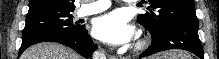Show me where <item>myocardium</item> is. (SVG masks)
<instances>
[{"instance_id": "f54148a6", "label": "myocardium", "mask_w": 219, "mask_h": 59, "mask_svg": "<svg viewBox=\"0 0 219 59\" xmlns=\"http://www.w3.org/2000/svg\"><path fill=\"white\" fill-rule=\"evenodd\" d=\"M144 45V42H140V43H138V45H137V47H142Z\"/></svg>"}]
</instances>
